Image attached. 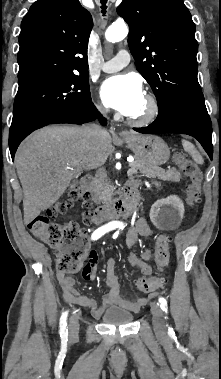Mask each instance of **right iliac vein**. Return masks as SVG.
Masks as SVG:
<instances>
[{
    "label": "right iliac vein",
    "mask_w": 221,
    "mask_h": 379,
    "mask_svg": "<svg viewBox=\"0 0 221 379\" xmlns=\"http://www.w3.org/2000/svg\"><path fill=\"white\" fill-rule=\"evenodd\" d=\"M69 329H70V336L72 338L77 337L78 331H79V322L76 316H73L70 318Z\"/></svg>",
    "instance_id": "right-iliac-vein-1"
}]
</instances>
